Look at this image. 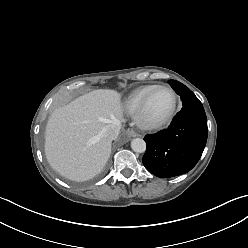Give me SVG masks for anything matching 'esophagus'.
I'll return each instance as SVG.
<instances>
[{
    "instance_id": "1",
    "label": "esophagus",
    "mask_w": 248,
    "mask_h": 248,
    "mask_svg": "<svg viewBox=\"0 0 248 248\" xmlns=\"http://www.w3.org/2000/svg\"><path fill=\"white\" fill-rule=\"evenodd\" d=\"M127 133H128V135H129L130 137H137V136H139V134H138L137 132H135L134 130H132V129H129V130L127 131Z\"/></svg>"
}]
</instances>
